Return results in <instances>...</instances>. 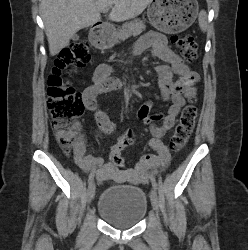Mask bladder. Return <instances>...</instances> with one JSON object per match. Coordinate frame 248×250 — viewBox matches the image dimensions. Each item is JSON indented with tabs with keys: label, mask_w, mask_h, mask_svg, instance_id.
<instances>
[{
	"label": "bladder",
	"mask_w": 248,
	"mask_h": 250,
	"mask_svg": "<svg viewBox=\"0 0 248 250\" xmlns=\"http://www.w3.org/2000/svg\"><path fill=\"white\" fill-rule=\"evenodd\" d=\"M96 210L110 225L120 229L131 228L146 216L147 197L139 187L114 186L102 192Z\"/></svg>",
	"instance_id": "obj_1"
}]
</instances>
